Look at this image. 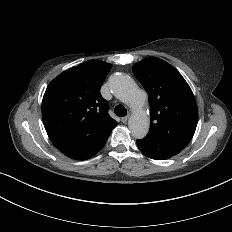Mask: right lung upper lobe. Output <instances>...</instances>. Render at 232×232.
I'll return each mask as SVG.
<instances>
[{"mask_svg": "<svg viewBox=\"0 0 232 232\" xmlns=\"http://www.w3.org/2000/svg\"><path fill=\"white\" fill-rule=\"evenodd\" d=\"M111 68L106 62L89 60L64 71L48 85L42 101V118L57 149L95 147L117 125L100 94Z\"/></svg>", "mask_w": 232, "mask_h": 232, "instance_id": "obj_1", "label": "right lung upper lobe"}]
</instances>
